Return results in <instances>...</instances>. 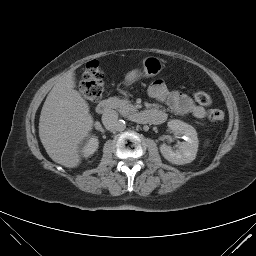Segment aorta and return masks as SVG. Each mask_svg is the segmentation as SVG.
<instances>
[{"label":"aorta","mask_w":256,"mask_h":256,"mask_svg":"<svg viewBox=\"0 0 256 256\" xmlns=\"http://www.w3.org/2000/svg\"><path fill=\"white\" fill-rule=\"evenodd\" d=\"M126 128V123L124 120H119L117 125V131H123Z\"/></svg>","instance_id":"762f6f07"}]
</instances>
